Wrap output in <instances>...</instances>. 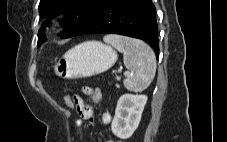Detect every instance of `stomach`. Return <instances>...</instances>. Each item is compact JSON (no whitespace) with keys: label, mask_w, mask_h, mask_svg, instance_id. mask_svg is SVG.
Listing matches in <instances>:
<instances>
[{"label":"stomach","mask_w":227,"mask_h":142,"mask_svg":"<svg viewBox=\"0 0 227 142\" xmlns=\"http://www.w3.org/2000/svg\"><path fill=\"white\" fill-rule=\"evenodd\" d=\"M117 60L112 47L98 41H88L69 49L55 64V74L61 78L91 77L107 71Z\"/></svg>","instance_id":"0dacf381"}]
</instances>
